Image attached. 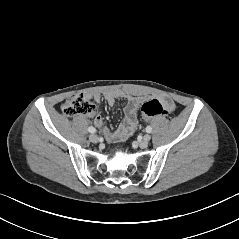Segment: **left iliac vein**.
<instances>
[{
	"mask_svg": "<svg viewBox=\"0 0 239 239\" xmlns=\"http://www.w3.org/2000/svg\"><path fill=\"white\" fill-rule=\"evenodd\" d=\"M151 139L150 135H145L144 138L139 142V147L140 148H146L149 144V141Z\"/></svg>",
	"mask_w": 239,
	"mask_h": 239,
	"instance_id": "obj_1",
	"label": "left iliac vein"
}]
</instances>
